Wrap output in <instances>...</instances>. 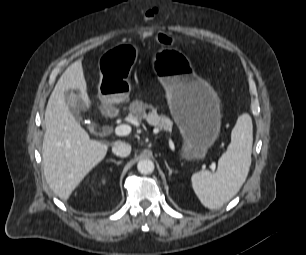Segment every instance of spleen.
I'll list each match as a JSON object with an SVG mask.
<instances>
[{
  "mask_svg": "<svg viewBox=\"0 0 306 255\" xmlns=\"http://www.w3.org/2000/svg\"><path fill=\"white\" fill-rule=\"evenodd\" d=\"M252 143V119L244 113L237 119L231 132V143L220 157L217 171H200L192 175L193 190L205 207L219 209L238 193L248 176Z\"/></svg>",
  "mask_w": 306,
  "mask_h": 255,
  "instance_id": "3e777b00",
  "label": "spleen"
}]
</instances>
